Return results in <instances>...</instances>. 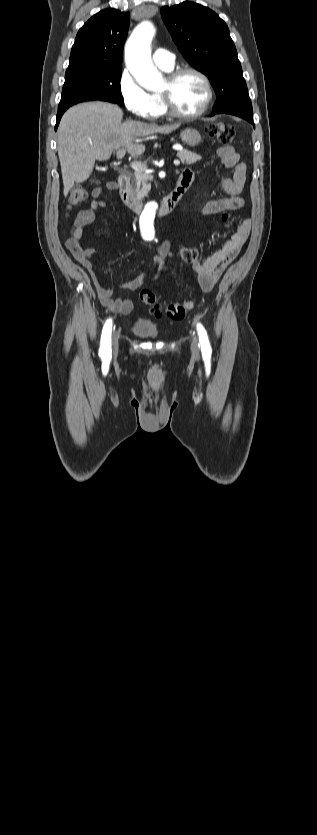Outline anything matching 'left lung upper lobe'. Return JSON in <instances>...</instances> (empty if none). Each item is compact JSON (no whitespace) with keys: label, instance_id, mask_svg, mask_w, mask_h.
<instances>
[{"label":"left lung upper lobe","instance_id":"obj_1","mask_svg":"<svg viewBox=\"0 0 317 835\" xmlns=\"http://www.w3.org/2000/svg\"><path fill=\"white\" fill-rule=\"evenodd\" d=\"M161 16L182 55L211 80L217 96L215 110L253 114L241 64L226 23L209 8L194 2L165 6Z\"/></svg>","mask_w":317,"mask_h":835}]
</instances>
